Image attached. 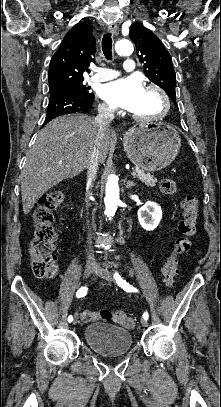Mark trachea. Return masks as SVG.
I'll return each instance as SVG.
<instances>
[{"instance_id": "3493384b", "label": "trachea", "mask_w": 221, "mask_h": 407, "mask_svg": "<svg viewBox=\"0 0 221 407\" xmlns=\"http://www.w3.org/2000/svg\"><path fill=\"white\" fill-rule=\"evenodd\" d=\"M102 51L107 60L112 59V38L111 33H106L102 39Z\"/></svg>"}]
</instances>
